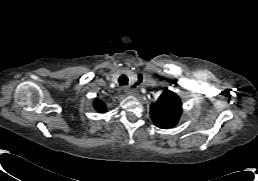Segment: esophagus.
I'll return each mask as SVG.
<instances>
[{
	"label": "esophagus",
	"instance_id": "1",
	"mask_svg": "<svg viewBox=\"0 0 258 181\" xmlns=\"http://www.w3.org/2000/svg\"><path fill=\"white\" fill-rule=\"evenodd\" d=\"M123 89L126 93H130V91H132V89H129L128 87H124Z\"/></svg>",
	"mask_w": 258,
	"mask_h": 181
}]
</instances>
